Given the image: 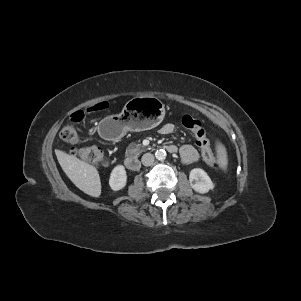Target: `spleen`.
<instances>
[{"instance_id": "spleen-1", "label": "spleen", "mask_w": 301, "mask_h": 301, "mask_svg": "<svg viewBox=\"0 0 301 301\" xmlns=\"http://www.w3.org/2000/svg\"><path fill=\"white\" fill-rule=\"evenodd\" d=\"M218 154H219V161L223 169H226L227 166V153L226 149L223 145L218 146Z\"/></svg>"}]
</instances>
